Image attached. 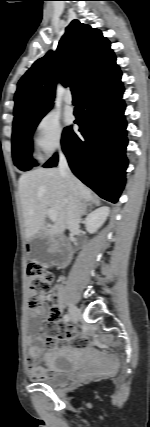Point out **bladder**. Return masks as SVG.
Returning a JSON list of instances; mask_svg holds the SVG:
<instances>
[{"label":"bladder","mask_w":150,"mask_h":427,"mask_svg":"<svg viewBox=\"0 0 150 427\" xmlns=\"http://www.w3.org/2000/svg\"><path fill=\"white\" fill-rule=\"evenodd\" d=\"M46 370L47 376L43 378V383L51 387L64 385L76 373V368L64 353L56 354L50 358Z\"/></svg>","instance_id":"1"}]
</instances>
